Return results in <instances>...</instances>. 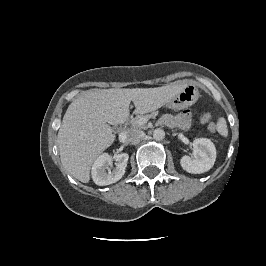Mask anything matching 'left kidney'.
<instances>
[{
    "instance_id": "obj_1",
    "label": "left kidney",
    "mask_w": 266,
    "mask_h": 266,
    "mask_svg": "<svg viewBox=\"0 0 266 266\" xmlns=\"http://www.w3.org/2000/svg\"><path fill=\"white\" fill-rule=\"evenodd\" d=\"M193 155L183 156L180 160L182 168L193 174H200L210 170L216 160V148L211 140L197 138L193 141Z\"/></svg>"
}]
</instances>
